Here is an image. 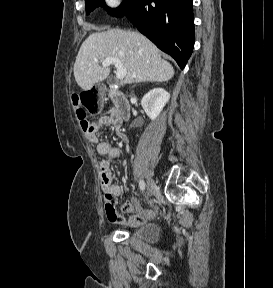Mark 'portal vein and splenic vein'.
<instances>
[{
  "mask_svg": "<svg viewBox=\"0 0 273 288\" xmlns=\"http://www.w3.org/2000/svg\"><path fill=\"white\" fill-rule=\"evenodd\" d=\"M94 60L97 62V58H94ZM112 64L115 65V67L117 69L116 78L119 80L124 79L126 76V69L122 66V64L118 58L108 57L102 61L103 67H108Z\"/></svg>",
  "mask_w": 273,
  "mask_h": 288,
  "instance_id": "obj_1",
  "label": "portal vein and splenic vein"
}]
</instances>
